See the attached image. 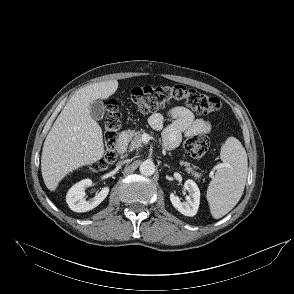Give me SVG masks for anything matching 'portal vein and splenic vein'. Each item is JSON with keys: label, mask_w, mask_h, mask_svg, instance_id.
I'll return each instance as SVG.
<instances>
[{"label": "portal vein and splenic vein", "mask_w": 294, "mask_h": 294, "mask_svg": "<svg viewBox=\"0 0 294 294\" xmlns=\"http://www.w3.org/2000/svg\"><path fill=\"white\" fill-rule=\"evenodd\" d=\"M143 141L144 142H148L149 141V136L147 134H144Z\"/></svg>", "instance_id": "obj_1"}]
</instances>
